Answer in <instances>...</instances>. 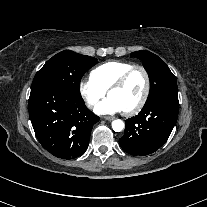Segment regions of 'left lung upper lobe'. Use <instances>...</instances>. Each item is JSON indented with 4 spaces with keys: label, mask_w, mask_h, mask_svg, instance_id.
Wrapping results in <instances>:
<instances>
[{
    "label": "left lung upper lobe",
    "mask_w": 207,
    "mask_h": 207,
    "mask_svg": "<svg viewBox=\"0 0 207 207\" xmlns=\"http://www.w3.org/2000/svg\"><path fill=\"white\" fill-rule=\"evenodd\" d=\"M131 57L141 59L149 75L151 88L146 103L150 102L159 94L178 91L175 76L157 55L148 51H136L131 53Z\"/></svg>",
    "instance_id": "1"
}]
</instances>
